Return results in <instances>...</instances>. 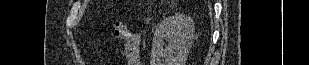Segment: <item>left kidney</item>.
Here are the masks:
<instances>
[{
    "label": "left kidney",
    "instance_id": "5707ae66",
    "mask_svg": "<svg viewBox=\"0 0 309 65\" xmlns=\"http://www.w3.org/2000/svg\"><path fill=\"white\" fill-rule=\"evenodd\" d=\"M194 22L183 14L164 19L156 28L151 50V65H185L194 38ZM168 45L164 48V41Z\"/></svg>",
    "mask_w": 309,
    "mask_h": 65
}]
</instances>
